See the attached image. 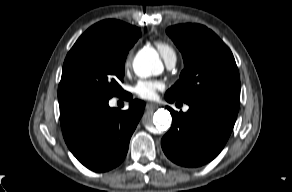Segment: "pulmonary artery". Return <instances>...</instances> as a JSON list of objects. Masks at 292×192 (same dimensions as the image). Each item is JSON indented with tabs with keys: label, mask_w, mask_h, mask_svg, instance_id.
Instances as JSON below:
<instances>
[{
	"label": "pulmonary artery",
	"mask_w": 292,
	"mask_h": 192,
	"mask_svg": "<svg viewBox=\"0 0 292 192\" xmlns=\"http://www.w3.org/2000/svg\"><path fill=\"white\" fill-rule=\"evenodd\" d=\"M175 63H176V57H173V58H171L170 60H168V61L166 62L168 68H172V67H174ZM184 109L187 110L188 107H185Z\"/></svg>",
	"instance_id": "obj_1"
}]
</instances>
